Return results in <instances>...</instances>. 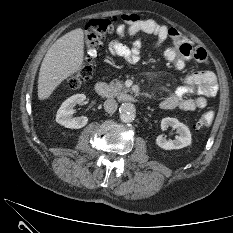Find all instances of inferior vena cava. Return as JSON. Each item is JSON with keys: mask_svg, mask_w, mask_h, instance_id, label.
I'll return each instance as SVG.
<instances>
[{"mask_svg": "<svg viewBox=\"0 0 233 233\" xmlns=\"http://www.w3.org/2000/svg\"><path fill=\"white\" fill-rule=\"evenodd\" d=\"M118 104L114 99H107L104 102V109L108 113H114L117 110Z\"/></svg>", "mask_w": 233, "mask_h": 233, "instance_id": "602c4592", "label": "inferior vena cava"}]
</instances>
